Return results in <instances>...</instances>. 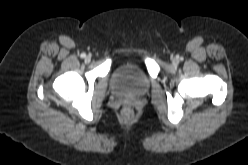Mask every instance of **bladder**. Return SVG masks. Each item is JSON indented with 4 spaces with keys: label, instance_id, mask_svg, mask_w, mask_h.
<instances>
[{
    "label": "bladder",
    "instance_id": "bladder-1",
    "mask_svg": "<svg viewBox=\"0 0 248 165\" xmlns=\"http://www.w3.org/2000/svg\"><path fill=\"white\" fill-rule=\"evenodd\" d=\"M110 86L120 97L140 98L148 93L150 81L138 64L122 63L113 69Z\"/></svg>",
    "mask_w": 248,
    "mask_h": 165
}]
</instances>
